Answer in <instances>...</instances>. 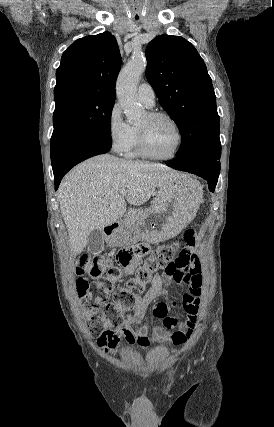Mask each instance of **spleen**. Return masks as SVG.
I'll return each instance as SVG.
<instances>
[{
	"label": "spleen",
	"instance_id": "3e777b00",
	"mask_svg": "<svg viewBox=\"0 0 274 427\" xmlns=\"http://www.w3.org/2000/svg\"><path fill=\"white\" fill-rule=\"evenodd\" d=\"M193 186H194V188H199V190H200L199 194H197V196H198V206H199V204H200V202L202 200V192H201L200 184H199V182H194Z\"/></svg>",
	"mask_w": 274,
	"mask_h": 427
}]
</instances>
